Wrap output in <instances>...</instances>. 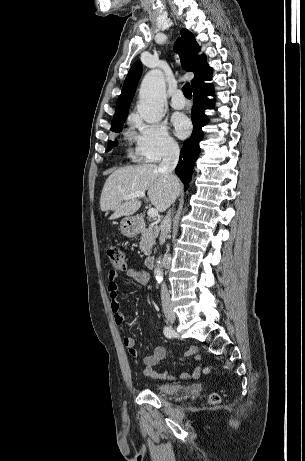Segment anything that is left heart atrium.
<instances>
[{"label": "left heart atrium", "mask_w": 305, "mask_h": 461, "mask_svg": "<svg viewBox=\"0 0 305 461\" xmlns=\"http://www.w3.org/2000/svg\"><path fill=\"white\" fill-rule=\"evenodd\" d=\"M175 133L179 138H185L191 130V123L187 117L182 114H176L172 118Z\"/></svg>", "instance_id": "39dd6f15"}]
</instances>
